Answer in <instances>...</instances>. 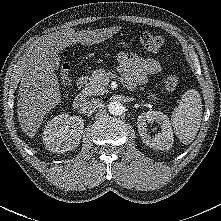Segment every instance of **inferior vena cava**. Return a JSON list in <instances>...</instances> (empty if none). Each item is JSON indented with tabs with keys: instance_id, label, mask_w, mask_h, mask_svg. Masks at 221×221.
Returning a JSON list of instances; mask_svg holds the SVG:
<instances>
[{
	"instance_id": "602c4592",
	"label": "inferior vena cava",
	"mask_w": 221,
	"mask_h": 221,
	"mask_svg": "<svg viewBox=\"0 0 221 221\" xmlns=\"http://www.w3.org/2000/svg\"><path fill=\"white\" fill-rule=\"evenodd\" d=\"M100 103H101L100 99L91 98L90 100H88L87 102L83 104L82 111L91 112L95 110L100 105Z\"/></svg>"
}]
</instances>
